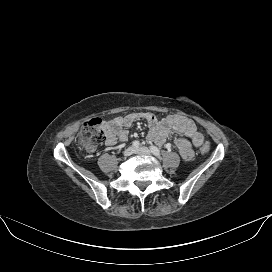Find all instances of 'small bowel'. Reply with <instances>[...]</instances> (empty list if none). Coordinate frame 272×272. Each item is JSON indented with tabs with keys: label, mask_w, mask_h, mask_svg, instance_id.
<instances>
[{
	"label": "small bowel",
	"mask_w": 272,
	"mask_h": 272,
	"mask_svg": "<svg viewBox=\"0 0 272 272\" xmlns=\"http://www.w3.org/2000/svg\"><path fill=\"white\" fill-rule=\"evenodd\" d=\"M138 120L147 122L149 127L148 140L150 142L163 145L167 138L175 135L174 145L180 156L186 161L191 160L194 156L193 146L199 147L204 142L203 135L191 119L180 115H171L159 120L149 112H133L102 122L106 144L113 146L118 142H125L128 139L127 128ZM87 149L94 151L95 147Z\"/></svg>",
	"instance_id": "small-bowel-1"
}]
</instances>
